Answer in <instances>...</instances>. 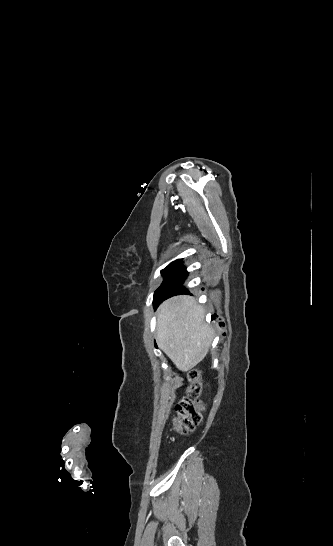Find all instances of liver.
I'll use <instances>...</instances> for the list:
<instances>
[{
  "label": "liver",
  "mask_w": 333,
  "mask_h": 546,
  "mask_svg": "<svg viewBox=\"0 0 333 546\" xmlns=\"http://www.w3.org/2000/svg\"><path fill=\"white\" fill-rule=\"evenodd\" d=\"M201 305L190 296L172 297L157 311V344L181 371H188L207 355L214 338Z\"/></svg>",
  "instance_id": "1"
}]
</instances>
